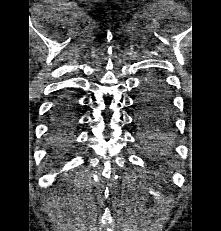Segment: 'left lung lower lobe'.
<instances>
[{
    "instance_id": "obj_1",
    "label": "left lung lower lobe",
    "mask_w": 221,
    "mask_h": 231,
    "mask_svg": "<svg viewBox=\"0 0 221 231\" xmlns=\"http://www.w3.org/2000/svg\"><path fill=\"white\" fill-rule=\"evenodd\" d=\"M162 86H163L162 82L160 80H158L157 78L148 77L145 81H143L142 91L144 89L155 90V89L162 87ZM164 89H165V92L167 93V95L169 97V94H168L165 87H164ZM169 99H170V97H169ZM157 102H158L157 99H151L150 105H156ZM168 125H170V120L168 121ZM145 142H146L147 146H149L154 152L166 153L170 149V143L168 142V140L165 138L164 135L159 134V133H157L153 137H149Z\"/></svg>"
}]
</instances>
